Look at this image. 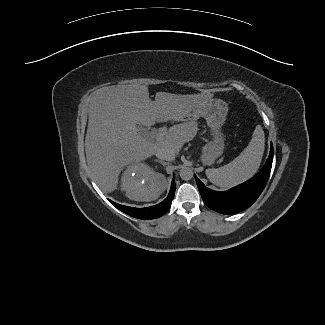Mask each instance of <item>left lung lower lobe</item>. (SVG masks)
Listing matches in <instances>:
<instances>
[{
  "label": "left lung lower lobe",
  "instance_id": "0a47b994",
  "mask_svg": "<svg viewBox=\"0 0 325 325\" xmlns=\"http://www.w3.org/2000/svg\"><path fill=\"white\" fill-rule=\"evenodd\" d=\"M273 161L271 143L269 157L259 173L248 181L227 191L218 192L207 188L196 176L195 180L204 203L222 214H235L250 207L259 197L268 181Z\"/></svg>",
  "mask_w": 325,
  "mask_h": 325
}]
</instances>
